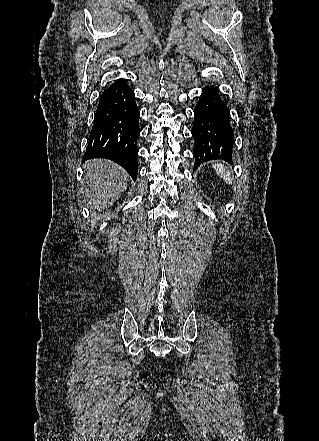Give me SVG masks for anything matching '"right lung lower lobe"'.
<instances>
[{
    "instance_id": "obj_1",
    "label": "right lung lower lobe",
    "mask_w": 319,
    "mask_h": 441,
    "mask_svg": "<svg viewBox=\"0 0 319 441\" xmlns=\"http://www.w3.org/2000/svg\"><path fill=\"white\" fill-rule=\"evenodd\" d=\"M138 121L139 109L134 91L123 79L115 81L100 95L83 161L110 159L136 180L137 140L140 134Z\"/></svg>"
}]
</instances>
